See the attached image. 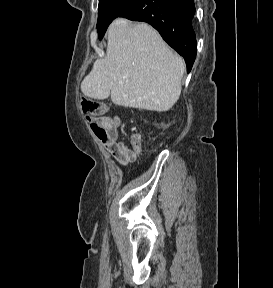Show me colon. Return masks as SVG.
Here are the masks:
<instances>
[{
    "instance_id": "1",
    "label": "colon",
    "mask_w": 273,
    "mask_h": 288,
    "mask_svg": "<svg viewBox=\"0 0 273 288\" xmlns=\"http://www.w3.org/2000/svg\"><path fill=\"white\" fill-rule=\"evenodd\" d=\"M82 109L86 115L87 120L90 122L91 128L99 139L107 137L106 131L99 123V118L106 114L107 107L100 100L85 98L82 101ZM133 142H138V137L133 136Z\"/></svg>"
}]
</instances>
